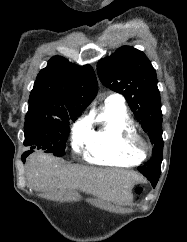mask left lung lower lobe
Segmentation results:
<instances>
[{"instance_id":"0a47b994","label":"left lung lower lobe","mask_w":187,"mask_h":242,"mask_svg":"<svg viewBox=\"0 0 187 242\" xmlns=\"http://www.w3.org/2000/svg\"><path fill=\"white\" fill-rule=\"evenodd\" d=\"M146 177L151 182L152 186L155 187L158 182L159 177H156L155 175H146Z\"/></svg>"}]
</instances>
